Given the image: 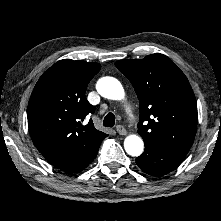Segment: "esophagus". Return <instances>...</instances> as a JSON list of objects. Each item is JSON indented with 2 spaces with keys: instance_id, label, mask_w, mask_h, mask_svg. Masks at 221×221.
I'll return each mask as SVG.
<instances>
[{
  "instance_id": "34e87169",
  "label": "esophagus",
  "mask_w": 221,
  "mask_h": 221,
  "mask_svg": "<svg viewBox=\"0 0 221 221\" xmlns=\"http://www.w3.org/2000/svg\"><path fill=\"white\" fill-rule=\"evenodd\" d=\"M116 131L118 132V134L120 135H126V129L122 126V125H118L116 127Z\"/></svg>"
}]
</instances>
